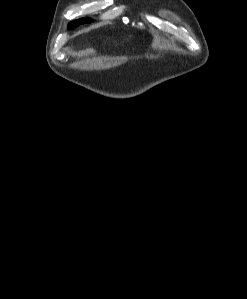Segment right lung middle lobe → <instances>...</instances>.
<instances>
[{
    "instance_id": "right-lung-middle-lobe-1",
    "label": "right lung middle lobe",
    "mask_w": 247,
    "mask_h": 299,
    "mask_svg": "<svg viewBox=\"0 0 247 299\" xmlns=\"http://www.w3.org/2000/svg\"><path fill=\"white\" fill-rule=\"evenodd\" d=\"M89 22H91V20L89 18H82V19H79V20H75V21H73L69 24V28H75L79 24L89 23Z\"/></svg>"
}]
</instances>
